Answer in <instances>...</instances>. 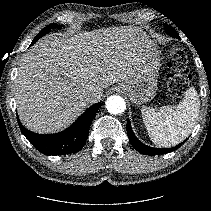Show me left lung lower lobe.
I'll use <instances>...</instances> for the list:
<instances>
[{
  "label": "left lung lower lobe",
  "instance_id": "left-lung-lower-lobe-1",
  "mask_svg": "<svg viewBox=\"0 0 211 211\" xmlns=\"http://www.w3.org/2000/svg\"><path fill=\"white\" fill-rule=\"evenodd\" d=\"M127 133H128V136H129V140L132 144V146L140 153L142 154H145V155H160V154H166V153H169L171 151H174L176 149H178L183 143L175 146V147H172V148H152V147H149V146H146L144 145L143 143H141L137 138L136 136L134 135L133 131H132V128H131V125H130V121L128 120L127 121Z\"/></svg>",
  "mask_w": 211,
  "mask_h": 211
}]
</instances>
